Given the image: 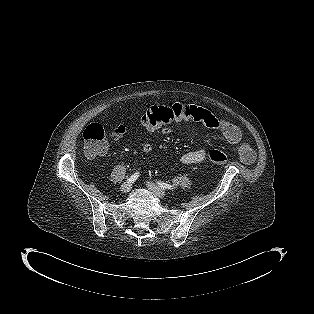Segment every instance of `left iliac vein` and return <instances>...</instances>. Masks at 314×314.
Returning a JSON list of instances; mask_svg holds the SVG:
<instances>
[{"label": "left iliac vein", "instance_id": "4c4485c4", "mask_svg": "<svg viewBox=\"0 0 314 314\" xmlns=\"http://www.w3.org/2000/svg\"><path fill=\"white\" fill-rule=\"evenodd\" d=\"M147 187L148 189L155 194L156 196L160 197V198H164L166 196V192L164 190H162L160 187H158L157 185H155L152 182H147Z\"/></svg>", "mask_w": 314, "mask_h": 314}]
</instances>
